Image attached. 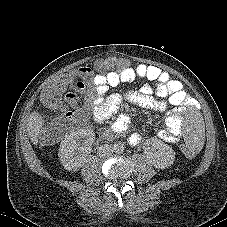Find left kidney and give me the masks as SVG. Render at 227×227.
<instances>
[{
  "label": "left kidney",
  "mask_w": 227,
  "mask_h": 227,
  "mask_svg": "<svg viewBox=\"0 0 227 227\" xmlns=\"http://www.w3.org/2000/svg\"><path fill=\"white\" fill-rule=\"evenodd\" d=\"M150 147L145 148L150 163L158 169H165L171 166L175 160V152L173 149L158 139L149 141Z\"/></svg>",
  "instance_id": "1"
}]
</instances>
